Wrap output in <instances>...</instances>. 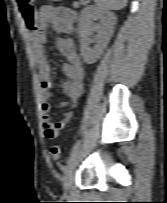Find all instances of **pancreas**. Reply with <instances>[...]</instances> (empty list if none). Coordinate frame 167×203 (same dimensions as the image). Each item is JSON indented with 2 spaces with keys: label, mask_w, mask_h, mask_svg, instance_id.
I'll return each instance as SVG.
<instances>
[{
  "label": "pancreas",
  "mask_w": 167,
  "mask_h": 203,
  "mask_svg": "<svg viewBox=\"0 0 167 203\" xmlns=\"http://www.w3.org/2000/svg\"><path fill=\"white\" fill-rule=\"evenodd\" d=\"M80 3H82V0H81V2H75L74 7H78Z\"/></svg>",
  "instance_id": "obj_1"
}]
</instances>
